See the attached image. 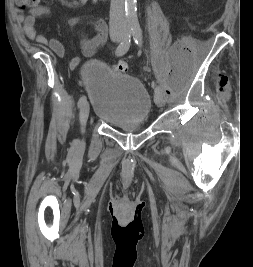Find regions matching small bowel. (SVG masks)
<instances>
[{
    "mask_svg": "<svg viewBox=\"0 0 253 267\" xmlns=\"http://www.w3.org/2000/svg\"><path fill=\"white\" fill-rule=\"evenodd\" d=\"M63 5L73 8H83L87 3H96L98 0H59ZM49 14V9L43 6L37 7L23 18L22 29L29 40L47 46L57 56L64 55V46L56 38L46 37L40 34L36 27V18ZM69 25L76 29L80 56L72 60L73 65H77L82 57H89L103 44L107 36V26L102 19L95 16L78 15L69 20ZM87 25L94 30L92 36L87 35L81 30V26Z\"/></svg>",
    "mask_w": 253,
    "mask_h": 267,
    "instance_id": "obj_1",
    "label": "small bowel"
}]
</instances>
